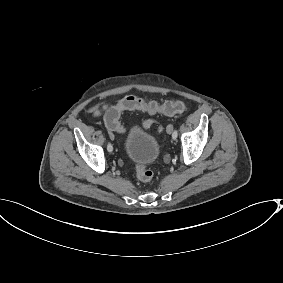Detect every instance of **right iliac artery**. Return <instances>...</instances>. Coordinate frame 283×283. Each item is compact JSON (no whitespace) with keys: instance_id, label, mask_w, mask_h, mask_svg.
I'll return each mask as SVG.
<instances>
[{"instance_id":"82829eb1","label":"right iliac artery","mask_w":283,"mask_h":283,"mask_svg":"<svg viewBox=\"0 0 283 283\" xmlns=\"http://www.w3.org/2000/svg\"><path fill=\"white\" fill-rule=\"evenodd\" d=\"M107 150L109 151V152H111L112 150H113V146H112V144L109 142L108 143V145H107Z\"/></svg>"}]
</instances>
